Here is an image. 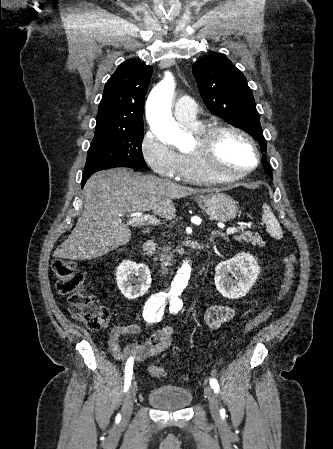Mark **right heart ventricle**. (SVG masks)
<instances>
[{"label":"right heart ventricle","mask_w":333,"mask_h":449,"mask_svg":"<svg viewBox=\"0 0 333 449\" xmlns=\"http://www.w3.org/2000/svg\"><path fill=\"white\" fill-rule=\"evenodd\" d=\"M187 129L194 133H199L204 129V127L196 125L193 127H188ZM178 154L180 158V166L178 173L179 179L186 182L198 184L218 182L205 173L198 157L195 155L193 150L187 152H180Z\"/></svg>","instance_id":"e07e8e85"}]
</instances>
